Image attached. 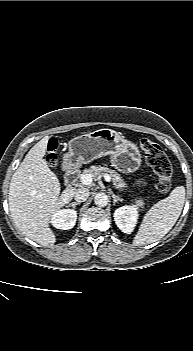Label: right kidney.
I'll use <instances>...</instances> for the list:
<instances>
[{
  "instance_id": "ca27d5eb",
  "label": "right kidney",
  "mask_w": 193,
  "mask_h": 351,
  "mask_svg": "<svg viewBox=\"0 0 193 351\" xmlns=\"http://www.w3.org/2000/svg\"><path fill=\"white\" fill-rule=\"evenodd\" d=\"M77 212L71 209H61L56 211L51 218L52 225L61 230H68L75 226Z\"/></svg>"
}]
</instances>
